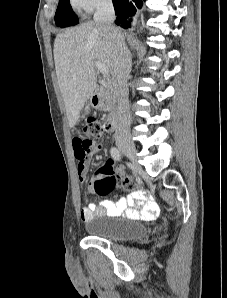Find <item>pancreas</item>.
Instances as JSON below:
<instances>
[{
	"label": "pancreas",
	"instance_id": "1",
	"mask_svg": "<svg viewBox=\"0 0 227 298\" xmlns=\"http://www.w3.org/2000/svg\"><path fill=\"white\" fill-rule=\"evenodd\" d=\"M107 99L109 100L110 97L108 96ZM111 109H112L111 105L108 104L107 106H105V107L103 108V111H111Z\"/></svg>",
	"mask_w": 227,
	"mask_h": 298
}]
</instances>
